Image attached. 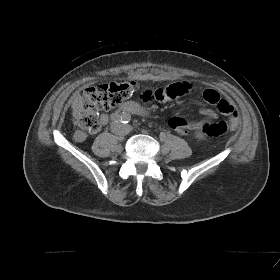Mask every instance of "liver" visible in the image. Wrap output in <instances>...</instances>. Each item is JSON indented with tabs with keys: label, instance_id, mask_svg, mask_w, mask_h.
<instances>
[{
	"label": "liver",
	"instance_id": "1",
	"mask_svg": "<svg viewBox=\"0 0 280 280\" xmlns=\"http://www.w3.org/2000/svg\"><path fill=\"white\" fill-rule=\"evenodd\" d=\"M83 108H84V103L82 97L80 95H76L72 102L73 116L75 118H79L81 112L83 111Z\"/></svg>",
	"mask_w": 280,
	"mask_h": 280
}]
</instances>
